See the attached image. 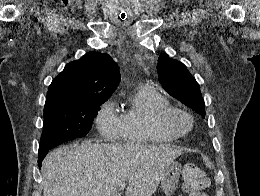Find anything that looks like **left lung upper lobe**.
<instances>
[{
  "mask_svg": "<svg viewBox=\"0 0 260 196\" xmlns=\"http://www.w3.org/2000/svg\"><path fill=\"white\" fill-rule=\"evenodd\" d=\"M159 82L174 98L178 99L198 114L205 116V104L199 84L185 65L162 54L158 61Z\"/></svg>",
  "mask_w": 260,
  "mask_h": 196,
  "instance_id": "1",
  "label": "left lung upper lobe"
}]
</instances>
